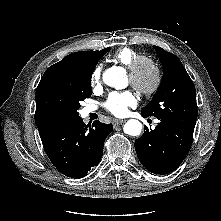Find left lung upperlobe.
I'll use <instances>...</instances> for the list:
<instances>
[{"instance_id":"obj_1","label":"left lung upper lobe","mask_w":221,"mask_h":221,"mask_svg":"<svg viewBox=\"0 0 221 221\" xmlns=\"http://www.w3.org/2000/svg\"><path fill=\"white\" fill-rule=\"evenodd\" d=\"M163 66L164 78L153 99L141 114L154 116L174 126L194 128L197 119L196 90L181 61L154 46Z\"/></svg>"}]
</instances>
